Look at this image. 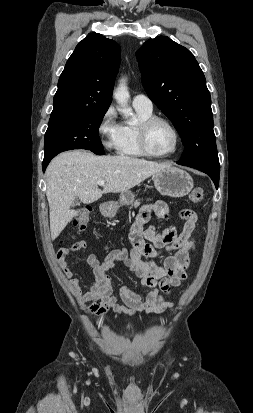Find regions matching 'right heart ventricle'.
Masks as SVG:
<instances>
[{"label":"right heart ventricle","instance_id":"1","mask_svg":"<svg viewBox=\"0 0 253 413\" xmlns=\"http://www.w3.org/2000/svg\"><path fill=\"white\" fill-rule=\"evenodd\" d=\"M136 109V108H135ZM140 121L142 119L152 116V111H144L136 109ZM123 126V140L119 152L126 157H143L145 156L139 148L137 125L124 124Z\"/></svg>","mask_w":253,"mask_h":413}]
</instances>
